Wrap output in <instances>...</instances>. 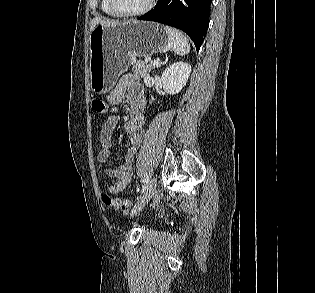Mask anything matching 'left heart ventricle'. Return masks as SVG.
Returning <instances> with one entry per match:
<instances>
[{
  "instance_id": "left-heart-ventricle-1",
  "label": "left heart ventricle",
  "mask_w": 315,
  "mask_h": 293,
  "mask_svg": "<svg viewBox=\"0 0 315 293\" xmlns=\"http://www.w3.org/2000/svg\"><path fill=\"white\" fill-rule=\"evenodd\" d=\"M119 7L124 11H137L143 8L149 0H117Z\"/></svg>"
}]
</instances>
